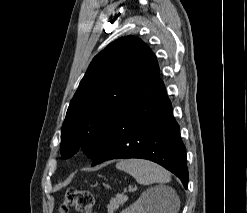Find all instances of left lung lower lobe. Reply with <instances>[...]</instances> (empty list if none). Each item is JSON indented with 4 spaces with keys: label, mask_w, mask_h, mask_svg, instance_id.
Returning <instances> with one entry per match:
<instances>
[{
    "label": "left lung lower lobe",
    "mask_w": 247,
    "mask_h": 213,
    "mask_svg": "<svg viewBox=\"0 0 247 213\" xmlns=\"http://www.w3.org/2000/svg\"><path fill=\"white\" fill-rule=\"evenodd\" d=\"M142 158L174 173L188 187L186 148L159 67L145 77L135 98L127 104L113 125L92 166L111 159Z\"/></svg>",
    "instance_id": "1"
}]
</instances>
